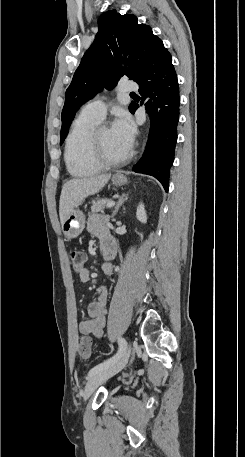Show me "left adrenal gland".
<instances>
[{
    "instance_id": "obj_1",
    "label": "left adrenal gland",
    "mask_w": 245,
    "mask_h": 457,
    "mask_svg": "<svg viewBox=\"0 0 245 457\" xmlns=\"http://www.w3.org/2000/svg\"><path fill=\"white\" fill-rule=\"evenodd\" d=\"M127 198H128V196H126L125 192H123L122 196H120V198H118V202L111 214V216H113V218H114L115 214H117L121 204H123V202H125V200H127Z\"/></svg>"
}]
</instances>
